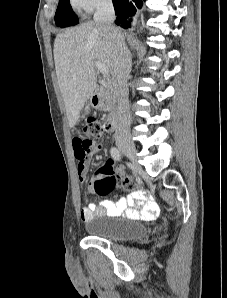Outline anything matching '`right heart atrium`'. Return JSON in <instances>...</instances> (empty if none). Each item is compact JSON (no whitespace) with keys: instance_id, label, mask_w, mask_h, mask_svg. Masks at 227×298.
Masks as SVG:
<instances>
[{"instance_id":"1","label":"right heart atrium","mask_w":227,"mask_h":298,"mask_svg":"<svg viewBox=\"0 0 227 298\" xmlns=\"http://www.w3.org/2000/svg\"><path fill=\"white\" fill-rule=\"evenodd\" d=\"M70 2L76 10L89 14L110 5L111 0H70Z\"/></svg>"}]
</instances>
